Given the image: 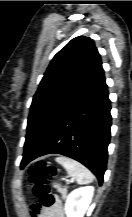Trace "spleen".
Instances as JSON below:
<instances>
[{
  "instance_id": "3e777b00",
  "label": "spleen",
  "mask_w": 132,
  "mask_h": 217,
  "mask_svg": "<svg viewBox=\"0 0 132 217\" xmlns=\"http://www.w3.org/2000/svg\"><path fill=\"white\" fill-rule=\"evenodd\" d=\"M56 162L61 164L66 169L67 173L76 179L78 184H88L94 180L92 172L74 159L59 156L56 158Z\"/></svg>"
}]
</instances>
